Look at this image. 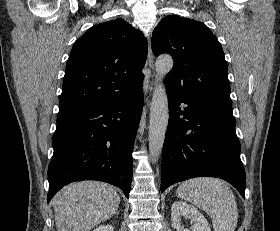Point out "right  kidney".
<instances>
[{
  "label": "right kidney",
  "mask_w": 280,
  "mask_h": 231,
  "mask_svg": "<svg viewBox=\"0 0 280 231\" xmlns=\"http://www.w3.org/2000/svg\"><path fill=\"white\" fill-rule=\"evenodd\" d=\"M93 231H114L113 225H99V227H95Z\"/></svg>",
  "instance_id": "obj_1"
}]
</instances>
